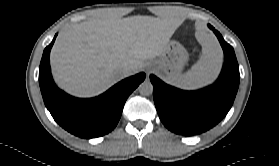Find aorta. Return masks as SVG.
<instances>
[{
  "label": "aorta",
  "mask_w": 279,
  "mask_h": 166,
  "mask_svg": "<svg viewBox=\"0 0 279 166\" xmlns=\"http://www.w3.org/2000/svg\"><path fill=\"white\" fill-rule=\"evenodd\" d=\"M138 91L141 95L149 96L153 92V85L150 81L145 80L139 85Z\"/></svg>",
  "instance_id": "aorta-1"
}]
</instances>
